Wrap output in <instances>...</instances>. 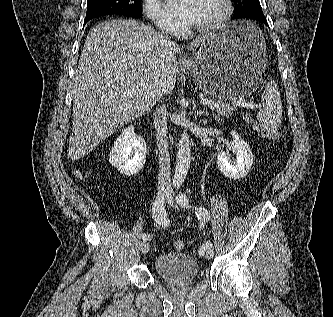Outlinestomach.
I'll return each mask as SVG.
<instances>
[{"label":"stomach","instance_id":"0dacf381","mask_svg":"<svg viewBox=\"0 0 333 317\" xmlns=\"http://www.w3.org/2000/svg\"><path fill=\"white\" fill-rule=\"evenodd\" d=\"M260 30V24L239 21L207 35L188 63L195 84L228 101L262 95L270 77L263 75L266 44Z\"/></svg>","mask_w":333,"mask_h":317}]
</instances>
